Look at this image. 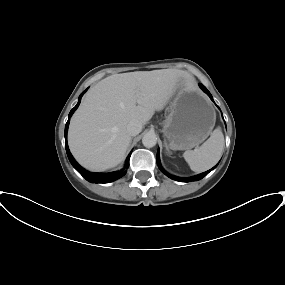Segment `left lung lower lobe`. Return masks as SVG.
Listing matches in <instances>:
<instances>
[{
	"label": "left lung lower lobe",
	"instance_id": "obj_1",
	"mask_svg": "<svg viewBox=\"0 0 285 285\" xmlns=\"http://www.w3.org/2000/svg\"><path fill=\"white\" fill-rule=\"evenodd\" d=\"M199 86L201 87V89L207 93L209 95V97L211 98V100L213 101L212 99V96L210 94V92L206 89L205 86H203L202 84H199ZM157 164H158V167L160 168V170L165 174L167 175L169 178L173 179V180H176V181H180V182H190V181H198L200 179H202L203 177H205L211 170H213L216 166H214L212 169L204 172V173H201L197 176H194V177H190V178H180V177H176L174 175H171L169 174L168 172H166L162 167H161V164H160V159H159V155L157 156Z\"/></svg>",
	"mask_w": 285,
	"mask_h": 285
}]
</instances>
